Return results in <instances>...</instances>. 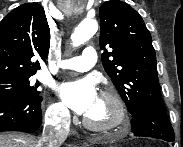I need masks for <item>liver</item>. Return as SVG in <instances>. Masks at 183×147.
Segmentation results:
<instances>
[{"mask_svg":"<svg viewBox=\"0 0 183 147\" xmlns=\"http://www.w3.org/2000/svg\"><path fill=\"white\" fill-rule=\"evenodd\" d=\"M38 141L35 137L19 134H0V147H37Z\"/></svg>","mask_w":183,"mask_h":147,"instance_id":"liver-1","label":"liver"}]
</instances>
